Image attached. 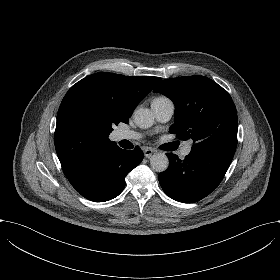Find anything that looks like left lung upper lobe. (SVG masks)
I'll return each mask as SVG.
<instances>
[{"label":"left lung upper lobe","mask_w":280,"mask_h":280,"mask_svg":"<svg viewBox=\"0 0 280 280\" xmlns=\"http://www.w3.org/2000/svg\"><path fill=\"white\" fill-rule=\"evenodd\" d=\"M154 92L171 99L175 123L170 127L179 139H192L193 151L234 156L238 118L229 93L204 76L166 79Z\"/></svg>","instance_id":"5c2ea615"}]
</instances>
